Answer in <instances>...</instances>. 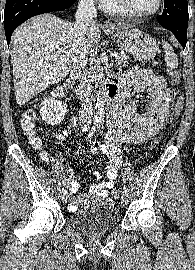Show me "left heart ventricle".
I'll return each mask as SVG.
<instances>
[{
    "instance_id": "left-heart-ventricle-1",
    "label": "left heart ventricle",
    "mask_w": 195,
    "mask_h": 270,
    "mask_svg": "<svg viewBox=\"0 0 195 270\" xmlns=\"http://www.w3.org/2000/svg\"><path fill=\"white\" fill-rule=\"evenodd\" d=\"M131 7L137 12H149L157 5V0H128Z\"/></svg>"
}]
</instances>
